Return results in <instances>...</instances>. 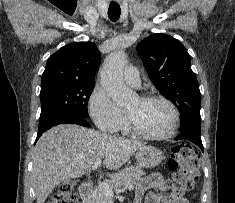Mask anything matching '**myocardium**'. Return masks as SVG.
Returning a JSON list of instances; mask_svg holds the SVG:
<instances>
[{"label":"myocardium","mask_w":235,"mask_h":203,"mask_svg":"<svg viewBox=\"0 0 235 203\" xmlns=\"http://www.w3.org/2000/svg\"><path fill=\"white\" fill-rule=\"evenodd\" d=\"M138 98L142 101H160V102L165 103L172 111V123L168 131H166L165 133L150 134L141 130L136 125V123L134 122L130 114L127 111H125V122H126L128 131L135 136H138L140 138L147 139V140H166L174 136L178 130L179 122H180V114L176 105L171 100L161 95L148 94V95H141Z\"/></svg>","instance_id":"f54148a6"}]
</instances>
